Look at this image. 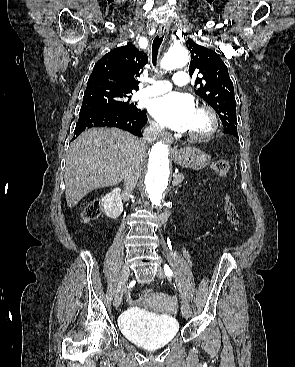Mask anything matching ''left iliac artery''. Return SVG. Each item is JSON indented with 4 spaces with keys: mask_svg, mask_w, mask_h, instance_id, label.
Instances as JSON below:
<instances>
[{
    "mask_svg": "<svg viewBox=\"0 0 295 367\" xmlns=\"http://www.w3.org/2000/svg\"><path fill=\"white\" fill-rule=\"evenodd\" d=\"M164 272L168 277L173 276V272L167 264H164Z\"/></svg>",
    "mask_w": 295,
    "mask_h": 367,
    "instance_id": "1",
    "label": "left iliac artery"
}]
</instances>
